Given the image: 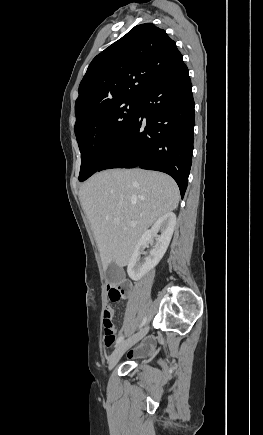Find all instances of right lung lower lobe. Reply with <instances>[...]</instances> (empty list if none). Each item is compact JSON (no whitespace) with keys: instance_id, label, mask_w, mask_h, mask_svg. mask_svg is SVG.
I'll return each instance as SVG.
<instances>
[{"instance_id":"obj_1","label":"right lung lower lobe","mask_w":263,"mask_h":435,"mask_svg":"<svg viewBox=\"0 0 263 435\" xmlns=\"http://www.w3.org/2000/svg\"><path fill=\"white\" fill-rule=\"evenodd\" d=\"M194 106L188 68L182 64L144 95L132 126L97 171L140 167L165 172L183 198L192 163Z\"/></svg>"}]
</instances>
